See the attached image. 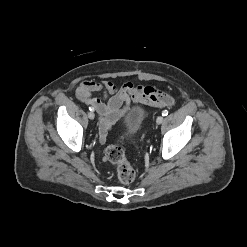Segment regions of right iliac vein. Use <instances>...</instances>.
<instances>
[{
    "label": "right iliac vein",
    "mask_w": 247,
    "mask_h": 247,
    "mask_svg": "<svg viewBox=\"0 0 247 247\" xmlns=\"http://www.w3.org/2000/svg\"><path fill=\"white\" fill-rule=\"evenodd\" d=\"M89 119L93 120L95 118V114L93 112L88 113Z\"/></svg>",
    "instance_id": "obj_1"
}]
</instances>
